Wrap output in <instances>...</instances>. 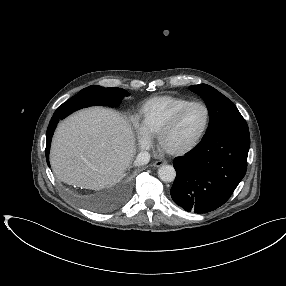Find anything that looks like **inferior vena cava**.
Returning a JSON list of instances; mask_svg holds the SVG:
<instances>
[{"label":"inferior vena cava","instance_id":"inferior-vena-cava-1","mask_svg":"<svg viewBox=\"0 0 286 286\" xmlns=\"http://www.w3.org/2000/svg\"><path fill=\"white\" fill-rule=\"evenodd\" d=\"M150 160V154L146 151L140 152L135 159V164L140 166V165H145L149 162Z\"/></svg>","mask_w":286,"mask_h":286}]
</instances>
